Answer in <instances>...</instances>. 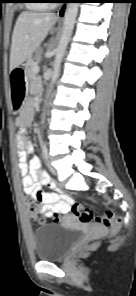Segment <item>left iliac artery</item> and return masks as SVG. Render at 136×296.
Wrapping results in <instances>:
<instances>
[{"instance_id":"obj_1","label":"left iliac artery","mask_w":136,"mask_h":296,"mask_svg":"<svg viewBox=\"0 0 136 296\" xmlns=\"http://www.w3.org/2000/svg\"><path fill=\"white\" fill-rule=\"evenodd\" d=\"M42 154L45 159H48V150L45 144L42 145Z\"/></svg>"}]
</instances>
